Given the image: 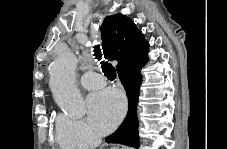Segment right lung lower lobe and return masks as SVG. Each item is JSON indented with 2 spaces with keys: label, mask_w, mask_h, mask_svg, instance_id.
I'll use <instances>...</instances> for the list:
<instances>
[{
  "label": "right lung lower lobe",
  "mask_w": 227,
  "mask_h": 149,
  "mask_svg": "<svg viewBox=\"0 0 227 149\" xmlns=\"http://www.w3.org/2000/svg\"><path fill=\"white\" fill-rule=\"evenodd\" d=\"M135 63L118 71L119 78L126 90L128 97V112L120 127L105 139L108 143H120L132 147H139L137 104L139 86L141 84L140 69L146 63Z\"/></svg>",
  "instance_id": "98d812e1"
}]
</instances>
